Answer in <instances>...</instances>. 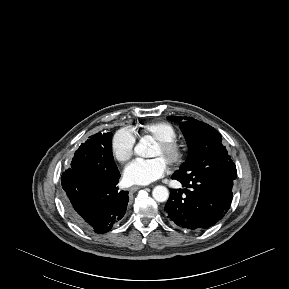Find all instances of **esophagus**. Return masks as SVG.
I'll return each instance as SVG.
<instances>
[{
  "instance_id": "34e87169",
  "label": "esophagus",
  "mask_w": 289,
  "mask_h": 289,
  "mask_svg": "<svg viewBox=\"0 0 289 289\" xmlns=\"http://www.w3.org/2000/svg\"><path fill=\"white\" fill-rule=\"evenodd\" d=\"M140 188H142V186H132V187L129 189V191H130V192H135V191H137V190L140 189Z\"/></svg>"
}]
</instances>
